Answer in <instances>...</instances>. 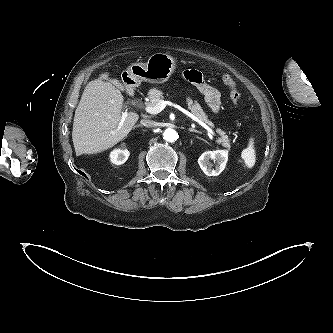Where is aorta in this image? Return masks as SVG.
<instances>
[{
	"label": "aorta",
	"instance_id": "1",
	"mask_svg": "<svg viewBox=\"0 0 333 333\" xmlns=\"http://www.w3.org/2000/svg\"><path fill=\"white\" fill-rule=\"evenodd\" d=\"M178 134L174 129L168 128L163 133L164 140L168 142H174L177 140Z\"/></svg>",
	"mask_w": 333,
	"mask_h": 333
}]
</instances>
